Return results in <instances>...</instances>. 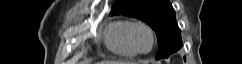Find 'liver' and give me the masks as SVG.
<instances>
[{"label": "liver", "instance_id": "1", "mask_svg": "<svg viewBox=\"0 0 242 64\" xmlns=\"http://www.w3.org/2000/svg\"><path fill=\"white\" fill-rule=\"evenodd\" d=\"M100 64H129V63H123V62H118V61H103Z\"/></svg>", "mask_w": 242, "mask_h": 64}]
</instances>
